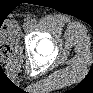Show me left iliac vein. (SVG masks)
Here are the masks:
<instances>
[{
  "mask_svg": "<svg viewBox=\"0 0 93 93\" xmlns=\"http://www.w3.org/2000/svg\"><path fill=\"white\" fill-rule=\"evenodd\" d=\"M32 26V23L30 21H27L24 23V29L28 30Z\"/></svg>",
  "mask_w": 93,
  "mask_h": 93,
  "instance_id": "4c4485c4",
  "label": "left iliac vein"
}]
</instances>
